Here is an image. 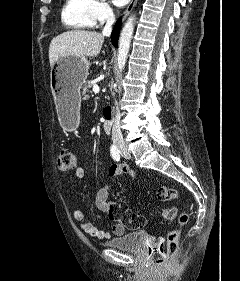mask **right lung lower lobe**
<instances>
[{
  "label": "right lung lower lobe",
  "instance_id": "98d812e1",
  "mask_svg": "<svg viewBox=\"0 0 240 281\" xmlns=\"http://www.w3.org/2000/svg\"><path fill=\"white\" fill-rule=\"evenodd\" d=\"M120 25H121V19H119L116 24H115V27L112 31V34H111V40H112V44L113 46L117 47V41H118V35H119V28H120Z\"/></svg>",
  "mask_w": 240,
  "mask_h": 281
}]
</instances>
